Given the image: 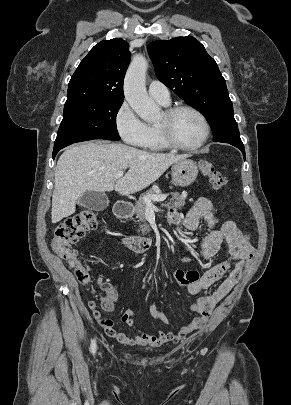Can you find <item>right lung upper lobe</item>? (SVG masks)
Listing matches in <instances>:
<instances>
[{"label":"right lung upper lobe","instance_id":"right-lung-upper-lobe-1","mask_svg":"<svg viewBox=\"0 0 291 405\" xmlns=\"http://www.w3.org/2000/svg\"><path fill=\"white\" fill-rule=\"evenodd\" d=\"M128 43L103 40L81 61L70 79L65 104L78 101H123V80L130 63Z\"/></svg>","mask_w":291,"mask_h":405}]
</instances>
